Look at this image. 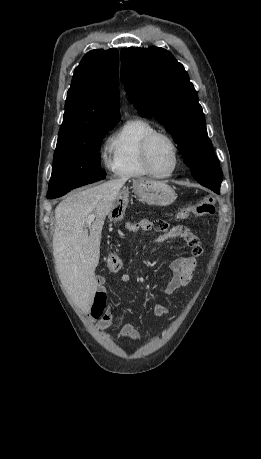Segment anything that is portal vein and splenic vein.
Wrapping results in <instances>:
<instances>
[{
    "label": "portal vein and splenic vein",
    "instance_id": "1",
    "mask_svg": "<svg viewBox=\"0 0 261 459\" xmlns=\"http://www.w3.org/2000/svg\"><path fill=\"white\" fill-rule=\"evenodd\" d=\"M95 219V215L91 214L87 218V225H90Z\"/></svg>",
    "mask_w": 261,
    "mask_h": 459
}]
</instances>
